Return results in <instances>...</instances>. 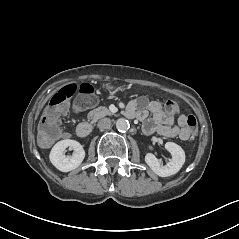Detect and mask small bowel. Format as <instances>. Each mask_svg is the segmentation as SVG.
Returning <instances> with one entry per match:
<instances>
[{
    "label": "small bowel",
    "mask_w": 239,
    "mask_h": 239,
    "mask_svg": "<svg viewBox=\"0 0 239 239\" xmlns=\"http://www.w3.org/2000/svg\"><path fill=\"white\" fill-rule=\"evenodd\" d=\"M127 115L141 120L143 131L146 134L156 133L181 140H187L191 134L187 127V116L185 114H180L175 119V116L165 113L158 102L150 101L144 96L130 102Z\"/></svg>",
    "instance_id": "obj_1"
}]
</instances>
